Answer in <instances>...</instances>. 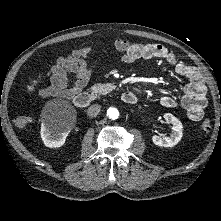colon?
I'll use <instances>...</instances> for the list:
<instances>
[{"instance_id":"1","label":"colon","mask_w":221,"mask_h":221,"mask_svg":"<svg viewBox=\"0 0 221 221\" xmlns=\"http://www.w3.org/2000/svg\"><path fill=\"white\" fill-rule=\"evenodd\" d=\"M36 87H37V80L36 79L31 80L26 86L27 90L30 91V92L35 91ZM29 121L30 120H29L28 117L19 116L15 119V125L18 128H24L28 125ZM200 130H201L202 133H208L211 130L210 121L209 120L203 121L202 124L200 125Z\"/></svg>"}]
</instances>
